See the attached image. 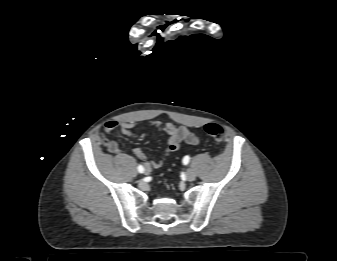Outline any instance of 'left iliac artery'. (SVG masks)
Masks as SVG:
<instances>
[{
    "label": "left iliac artery",
    "mask_w": 337,
    "mask_h": 261,
    "mask_svg": "<svg viewBox=\"0 0 337 261\" xmlns=\"http://www.w3.org/2000/svg\"><path fill=\"white\" fill-rule=\"evenodd\" d=\"M189 161H190V157L189 156H185L183 158V164L187 165L189 163Z\"/></svg>",
    "instance_id": "44dca946"
}]
</instances>
